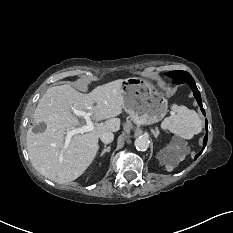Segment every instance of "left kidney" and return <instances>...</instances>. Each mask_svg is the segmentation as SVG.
Instances as JSON below:
<instances>
[{
  "mask_svg": "<svg viewBox=\"0 0 233 233\" xmlns=\"http://www.w3.org/2000/svg\"><path fill=\"white\" fill-rule=\"evenodd\" d=\"M170 152H171V151H170L169 149L166 150V154H167V155L170 154Z\"/></svg>",
  "mask_w": 233,
  "mask_h": 233,
  "instance_id": "left-kidney-1",
  "label": "left kidney"
}]
</instances>
